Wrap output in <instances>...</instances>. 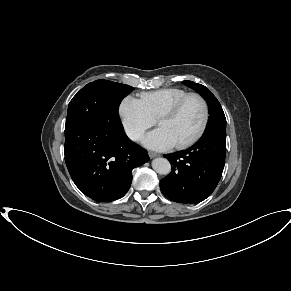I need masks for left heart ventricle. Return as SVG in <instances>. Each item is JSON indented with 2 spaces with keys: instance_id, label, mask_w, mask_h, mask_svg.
Listing matches in <instances>:
<instances>
[{
  "instance_id": "1",
  "label": "left heart ventricle",
  "mask_w": 291,
  "mask_h": 291,
  "mask_svg": "<svg viewBox=\"0 0 291 291\" xmlns=\"http://www.w3.org/2000/svg\"><path fill=\"white\" fill-rule=\"evenodd\" d=\"M204 117V108L198 98H190L180 112L171 119H164L158 123L175 144L190 139L199 130Z\"/></svg>"
}]
</instances>
